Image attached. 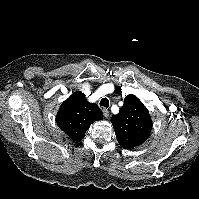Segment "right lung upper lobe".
Masks as SVG:
<instances>
[{"instance_id": "obj_1", "label": "right lung upper lobe", "mask_w": 199, "mask_h": 199, "mask_svg": "<svg viewBox=\"0 0 199 199\" xmlns=\"http://www.w3.org/2000/svg\"><path fill=\"white\" fill-rule=\"evenodd\" d=\"M102 119L100 108L89 103L79 92L73 93L62 103L56 116L59 128L74 141L82 140L90 125Z\"/></svg>"}]
</instances>
